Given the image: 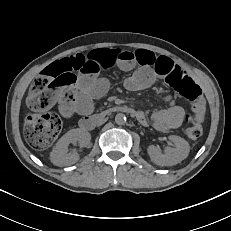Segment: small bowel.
Here are the masks:
<instances>
[{
	"label": "small bowel",
	"mask_w": 231,
	"mask_h": 231,
	"mask_svg": "<svg viewBox=\"0 0 231 231\" xmlns=\"http://www.w3.org/2000/svg\"><path fill=\"white\" fill-rule=\"evenodd\" d=\"M75 75L72 94L68 98L58 100L59 111L65 118L74 113L86 114L93 108V100L103 96L109 83L100 77L102 71L113 66L133 73L124 86L130 91H138L149 87L157 76L168 81L172 74L186 73L172 59L156 56L145 49L129 51L125 49H98L87 54H74L62 60ZM205 117V103L201 96L194 100L192 113L186 114L181 107L170 106L156 111L151 116L150 124L159 131H167L180 127L183 123H200ZM138 120L147 125L146 115L139 112Z\"/></svg>",
	"instance_id": "small-bowel-1"
}]
</instances>
